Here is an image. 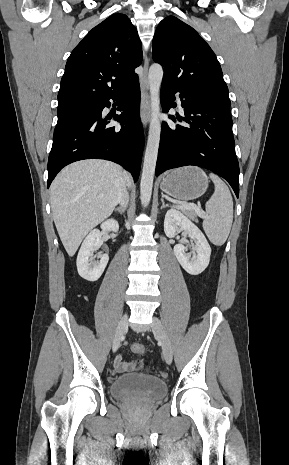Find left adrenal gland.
<instances>
[{
	"label": "left adrenal gland",
	"instance_id": "1",
	"mask_svg": "<svg viewBox=\"0 0 289 465\" xmlns=\"http://www.w3.org/2000/svg\"><path fill=\"white\" fill-rule=\"evenodd\" d=\"M161 202H162L161 209H163V208L167 207V205H165V202H164V199H163V198H161Z\"/></svg>",
	"mask_w": 289,
	"mask_h": 465
}]
</instances>
